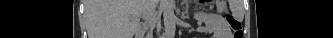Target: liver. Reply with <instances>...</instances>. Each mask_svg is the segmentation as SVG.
Wrapping results in <instances>:
<instances>
[{
  "label": "liver",
  "mask_w": 333,
  "mask_h": 38,
  "mask_svg": "<svg viewBox=\"0 0 333 38\" xmlns=\"http://www.w3.org/2000/svg\"><path fill=\"white\" fill-rule=\"evenodd\" d=\"M147 0H86L88 38H133ZM154 10L157 0H153ZM149 10V9H148Z\"/></svg>",
  "instance_id": "6515ba94"
}]
</instances>
